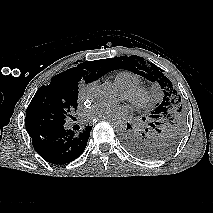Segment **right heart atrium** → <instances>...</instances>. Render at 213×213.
Segmentation results:
<instances>
[{
    "label": "right heart atrium",
    "instance_id": "right-heart-atrium-1",
    "mask_svg": "<svg viewBox=\"0 0 213 213\" xmlns=\"http://www.w3.org/2000/svg\"><path fill=\"white\" fill-rule=\"evenodd\" d=\"M96 82H89L80 85L78 92V99L81 102L89 103L92 102L95 97Z\"/></svg>",
    "mask_w": 213,
    "mask_h": 213
}]
</instances>
